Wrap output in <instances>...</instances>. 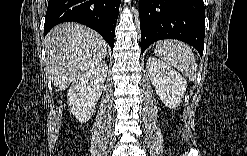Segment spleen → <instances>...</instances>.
Wrapping results in <instances>:
<instances>
[{
	"label": "spleen",
	"mask_w": 247,
	"mask_h": 156,
	"mask_svg": "<svg viewBox=\"0 0 247 156\" xmlns=\"http://www.w3.org/2000/svg\"><path fill=\"white\" fill-rule=\"evenodd\" d=\"M158 57L176 67L191 81L197 78V63L189 45L177 40L159 41L155 48Z\"/></svg>",
	"instance_id": "spleen-1"
}]
</instances>
